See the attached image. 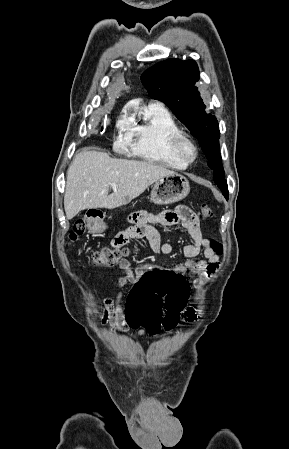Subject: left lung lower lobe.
<instances>
[{
	"instance_id": "0a47b994",
	"label": "left lung lower lobe",
	"mask_w": 289,
	"mask_h": 449,
	"mask_svg": "<svg viewBox=\"0 0 289 449\" xmlns=\"http://www.w3.org/2000/svg\"><path fill=\"white\" fill-rule=\"evenodd\" d=\"M225 198L228 200V195H225Z\"/></svg>"
}]
</instances>
